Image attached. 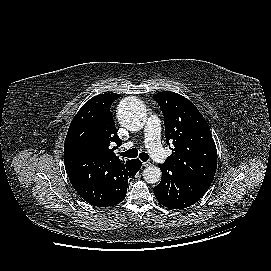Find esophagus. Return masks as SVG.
I'll list each match as a JSON object with an SVG mask.
<instances>
[{"mask_svg":"<svg viewBox=\"0 0 271 271\" xmlns=\"http://www.w3.org/2000/svg\"><path fill=\"white\" fill-rule=\"evenodd\" d=\"M142 165H143L144 167H147V166L152 165V162H151V161L143 162Z\"/></svg>","mask_w":271,"mask_h":271,"instance_id":"esophagus-1","label":"esophagus"}]
</instances>
